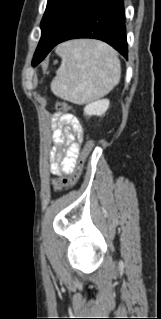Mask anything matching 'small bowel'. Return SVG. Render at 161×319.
<instances>
[{"mask_svg":"<svg viewBox=\"0 0 161 319\" xmlns=\"http://www.w3.org/2000/svg\"><path fill=\"white\" fill-rule=\"evenodd\" d=\"M51 125L57 146L53 147L50 153L51 173L68 175L74 170L82 145L81 123L75 115L57 111L51 118ZM62 147L65 148L61 149Z\"/></svg>","mask_w":161,"mask_h":319,"instance_id":"small-bowel-1","label":"small bowel"}]
</instances>
